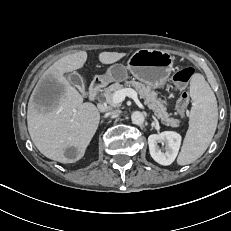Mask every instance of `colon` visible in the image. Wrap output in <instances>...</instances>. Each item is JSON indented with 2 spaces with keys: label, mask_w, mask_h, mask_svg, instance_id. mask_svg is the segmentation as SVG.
Wrapping results in <instances>:
<instances>
[{
  "label": "colon",
  "mask_w": 231,
  "mask_h": 231,
  "mask_svg": "<svg viewBox=\"0 0 231 231\" xmlns=\"http://www.w3.org/2000/svg\"><path fill=\"white\" fill-rule=\"evenodd\" d=\"M193 74V68L185 67L178 70L173 76L175 85L182 91L177 101V110L181 115L186 112L189 105L190 98L185 89Z\"/></svg>",
  "instance_id": "obj_1"
}]
</instances>
